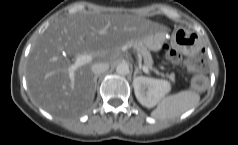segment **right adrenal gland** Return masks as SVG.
Listing matches in <instances>:
<instances>
[{"instance_id":"2a0ac1e0","label":"right adrenal gland","mask_w":238,"mask_h":145,"mask_svg":"<svg viewBox=\"0 0 238 145\" xmlns=\"http://www.w3.org/2000/svg\"><path fill=\"white\" fill-rule=\"evenodd\" d=\"M97 79H98V76H95V77H94V86H95V89H96V85H97Z\"/></svg>"}]
</instances>
